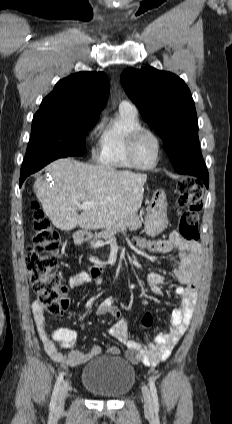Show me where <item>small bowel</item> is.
I'll return each instance as SVG.
<instances>
[{
    "label": "small bowel",
    "instance_id": "small-bowel-1",
    "mask_svg": "<svg viewBox=\"0 0 232 424\" xmlns=\"http://www.w3.org/2000/svg\"><path fill=\"white\" fill-rule=\"evenodd\" d=\"M135 245L144 250L159 254H171L176 250L180 251L179 267L175 271V277L182 285L175 288V292L181 297V302L177 308L171 312L170 321L172 328L167 333H160L154 337L153 343L147 347H142L137 341L129 337L128 324L121 318L120 309L114 305L111 297L105 298L96 310L98 316H112L116 318L115 324L109 329V334L127 347L126 358L131 363H142L148 367H155L160 362L166 360L177 345L181 337L187 330L197 302V289L201 269V248L197 243L184 245L177 233H172L164 239H147L137 236L134 239ZM189 252H186V250ZM167 280V277L159 272L147 274L146 281L154 295L163 296L160 286ZM102 279L86 271L74 272L66 286H62L64 311L69 308V301L65 298L69 289H76L84 285H100ZM32 311L39 337L48 355L56 362L75 366L97 357L102 350L98 345H93L89 352L85 353L75 348L78 335L76 331L58 327L51 334L46 330V317L44 310L35 303ZM59 347L67 349V353H62ZM109 355H116L119 349L116 346H109L106 349Z\"/></svg>",
    "mask_w": 232,
    "mask_h": 424
}]
</instances>
